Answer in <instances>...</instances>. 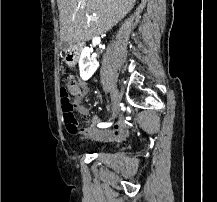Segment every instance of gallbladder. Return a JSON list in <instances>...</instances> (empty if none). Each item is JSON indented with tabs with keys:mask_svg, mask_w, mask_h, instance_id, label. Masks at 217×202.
I'll return each instance as SVG.
<instances>
[{
	"mask_svg": "<svg viewBox=\"0 0 217 202\" xmlns=\"http://www.w3.org/2000/svg\"><path fill=\"white\" fill-rule=\"evenodd\" d=\"M68 41L65 39L64 41H63V44H61V50L62 51H67V47H68Z\"/></svg>",
	"mask_w": 217,
	"mask_h": 202,
	"instance_id": "1",
	"label": "gallbladder"
}]
</instances>
